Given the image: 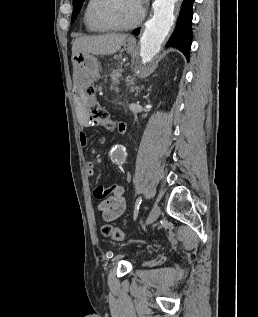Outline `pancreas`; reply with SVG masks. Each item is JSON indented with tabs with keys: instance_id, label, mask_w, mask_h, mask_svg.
<instances>
[{
	"instance_id": "obj_1",
	"label": "pancreas",
	"mask_w": 258,
	"mask_h": 317,
	"mask_svg": "<svg viewBox=\"0 0 258 317\" xmlns=\"http://www.w3.org/2000/svg\"><path fill=\"white\" fill-rule=\"evenodd\" d=\"M111 83H112V85H111V88L113 89V90H120L119 88H120V85L118 84L119 83V78L118 77H112L111 78Z\"/></svg>"
}]
</instances>
